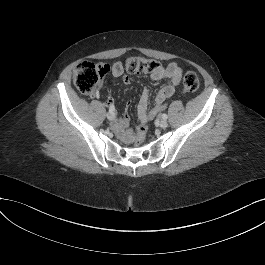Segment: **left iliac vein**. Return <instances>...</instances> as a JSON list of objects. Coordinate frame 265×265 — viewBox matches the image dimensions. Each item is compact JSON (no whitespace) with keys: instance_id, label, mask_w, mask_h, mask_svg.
I'll return each instance as SVG.
<instances>
[{"instance_id":"4c4485c4","label":"left iliac vein","mask_w":265,"mask_h":265,"mask_svg":"<svg viewBox=\"0 0 265 265\" xmlns=\"http://www.w3.org/2000/svg\"><path fill=\"white\" fill-rule=\"evenodd\" d=\"M168 126V122L166 120H161L160 121V127L161 128H166Z\"/></svg>"}]
</instances>
